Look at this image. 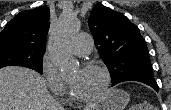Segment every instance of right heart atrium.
<instances>
[{
    "mask_svg": "<svg viewBox=\"0 0 171 110\" xmlns=\"http://www.w3.org/2000/svg\"><path fill=\"white\" fill-rule=\"evenodd\" d=\"M41 73L51 93L55 97L63 98L66 93V85L48 54H45L42 58Z\"/></svg>",
    "mask_w": 171,
    "mask_h": 110,
    "instance_id": "d8ad5b80",
    "label": "right heart atrium"
}]
</instances>
